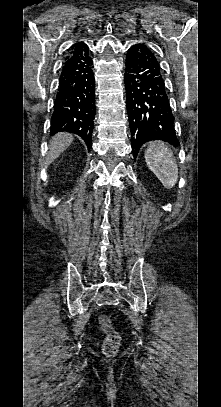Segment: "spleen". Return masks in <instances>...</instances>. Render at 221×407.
<instances>
[{"label": "spleen", "mask_w": 221, "mask_h": 407, "mask_svg": "<svg viewBox=\"0 0 221 407\" xmlns=\"http://www.w3.org/2000/svg\"><path fill=\"white\" fill-rule=\"evenodd\" d=\"M149 169L157 176L163 186L172 188L178 180V165L173 152L162 142H151L145 152Z\"/></svg>", "instance_id": "spleen-1"}]
</instances>
